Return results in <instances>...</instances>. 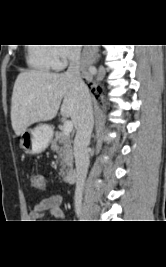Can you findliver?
I'll return each mask as SVG.
<instances>
[{"mask_svg": "<svg viewBox=\"0 0 166 267\" xmlns=\"http://www.w3.org/2000/svg\"><path fill=\"white\" fill-rule=\"evenodd\" d=\"M84 101L81 91L64 73L22 72L13 87L12 128L20 136L32 124L52 120L60 105L61 115L70 117L77 128Z\"/></svg>", "mask_w": 166, "mask_h": 267, "instance_id": "liver-1", "label": "liver"}]
</instances>
